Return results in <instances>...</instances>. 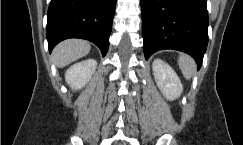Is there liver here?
Segmentation results:
<instances>
[{
    "mask_svg": "<svg viewBox=\"0 0 243 145\" xmlns=\"http://www.w3.org/2000/svg\"><path fill=\"white\" fill-rule=\"evenodd\" d=\"M91 46L87 41L69 39L59 43L53 50V58L57 67H65L70 63L86 56Z\"/></svg>",
    "mask_w": 243,
    "mask_h": 145,
    "instance_id": "liver-1",
    "label": "liver"
}]
</instances>
